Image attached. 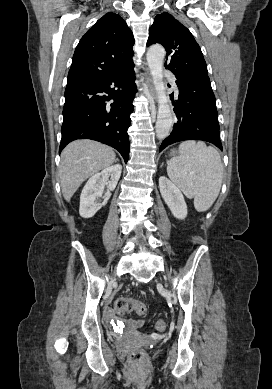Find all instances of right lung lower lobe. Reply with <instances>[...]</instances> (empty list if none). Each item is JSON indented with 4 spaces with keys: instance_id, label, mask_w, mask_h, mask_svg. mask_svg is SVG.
<instances>
[{
    "instance_id": "1",
    "label": "right lung lower lobe",
    "mask_w": 272,
    "mask_h": 389,
    "mask_svg": "<svg viewBox=\"0 0 272 389\" xmlns=\"http://www.w3.org/2000/svg\"><path fill=\"white\" fill-rule=\"evenodd\" d=\"M133 68L130 61L98 76L67 81L60 151L87 138L114 147L128 161L127 130L137 92Z\"/></svg>"
}]
</instances>
